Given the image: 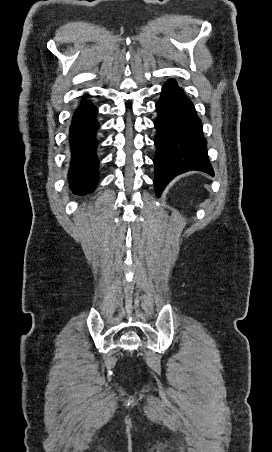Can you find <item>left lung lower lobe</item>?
<instances>
[{
  "label": "left lung lower lobe",
  "mask_w": 272,
  "mask_h": 452,
  "mask_svg": "<svg viewBox=\"0 0 272 452\" xmlns=\"http://www.w3.org/2000/svg\"><path fill=\"white\" fill-rule=\"evenodd\" d=\"M156 110L154 184L159 197L175 176L190 170L213 175V169L208 159L201 121L192 102L175 80L164 84Z\"/></svg>",
  "instance_id": "1"
}]
</instances>
